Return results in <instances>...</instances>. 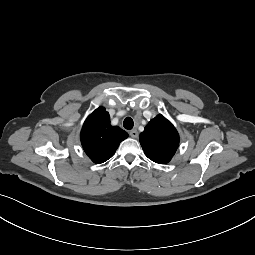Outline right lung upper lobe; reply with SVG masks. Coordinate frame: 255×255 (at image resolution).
<instances>
[{
	"instance_id": "right-lung-upper-lobe-1",
	"label": "right lung upper lobe",
	"mask_w": 255,
	"mask_h": 255,
	"mask_svg": "<svg viewBox=\"0 0 255 255\" xmlns=\"http://www.w3.org/2000/svg\"><path fill=\"white\" fill-rule=\"evenodd\" d=\"M128 133L119 126H111L105 108L99 107L88 116L81 130V144L88 157L96 164L111 158Z\"/></svg>"
}]
</instances>
